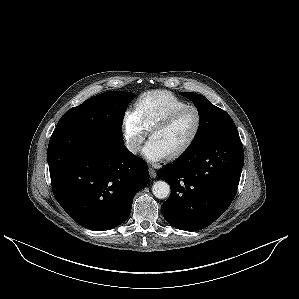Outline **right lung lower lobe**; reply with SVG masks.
<instances>
[{
    "label": "right lung lower lobe",
    "instance_id": "1",
    "mask_svg": "<svg viewBox=\"0 0 299 299\" xmlns=\"http://www.w3.org/2000/svg\"><path fill=\"white\" fill-rule=\"evenodd\" d=\"M47 160L58 203L74 221L95 231L122 224L133 197L149 180L147 165L124 141L102 134L56 128Z\"/></svg>",
    "mask_w": 299,
    "mask_h": 299
}]
</instances>
